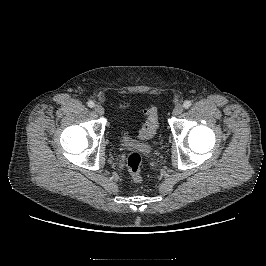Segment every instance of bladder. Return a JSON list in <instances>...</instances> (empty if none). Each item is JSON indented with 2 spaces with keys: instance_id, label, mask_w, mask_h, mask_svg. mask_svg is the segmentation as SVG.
Returning <instances> with one entry per match:
<instances>
[{
  "instance_id": "obj_1",
  "label": "bladder",
  "mask_w": 266,
  "mask_h": 266,
  "mask_svg": "<svg viewBox=\"0 0 266 266\" xmlns=\"http://www.w3.org/2000/svg\"><path fill=\"white\" fill-rule=\"evenodd\" d=\"M119 146L122 150L128 152H137L142 154H148L150 152V147L148 144L137 142L125 129H122L120 132Z\"/></svg>"
}]
</instances>
